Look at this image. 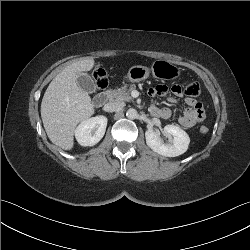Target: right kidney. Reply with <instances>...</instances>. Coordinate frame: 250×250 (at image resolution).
<instances>
[{
    "label": "right kidney",
    "mask_w": 250,
    "mask_h": 250,
    "mask_svg": "<svg viewBox=\"0 0 250 250\" xmlns=\"http://www.w3.org/2000/svg\"><path fill=\"white\" fill-rule=\"evenodd\" d=\"M107 127L105 116H96L82 121L75 129V137L81 146H94L104 136Z\"/></svg>",
    "instance_id": "right-kidney-1"
}]
</instances>
